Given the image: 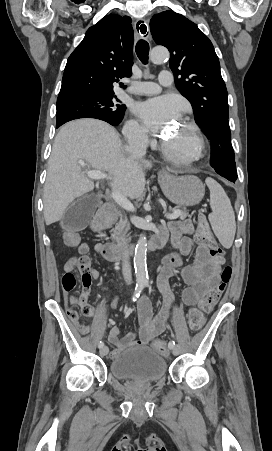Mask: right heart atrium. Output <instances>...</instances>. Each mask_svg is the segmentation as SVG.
<instances>
[{
  "instance_id": "1",
  "label": "right heart atrium",
  "mask_w": 272,
  "mask_h": 451,
  "mask_svg": "<svg viewBox=\"0 0 272 451\" xmlns=\"http://www.w3.org/2000/svg\"><path fill=\"white\" fill-rule=\"evenodd\" d=\"M127 132L130 138L139 139L144 136V130L142 126L136 120H130L127 123Z\"/></svg>"
}]
</instances>
